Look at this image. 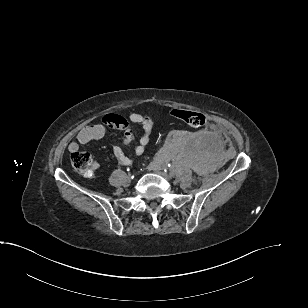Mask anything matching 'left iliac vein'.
<instances>
[{
  "instance_id": "1",
  "label": "left iliac vein",
  "mask_w": 308,
  "mask_h": 308,
  "mask_svg": "<svg viewBox=\"0 0 308 308\" xmlns=\"http://www.w3.org/2000/svg\"><path fill=\"white\" fill-rule=\"evenodd\" d=\"M149 170L151 171H154L155 173L161 175L162 177L166 178V179H169L171 176L166 173L163 168L161 167V165H159L158 163L154 162V163H151L149 165Z\"/></svg>"
}]
</instances>
